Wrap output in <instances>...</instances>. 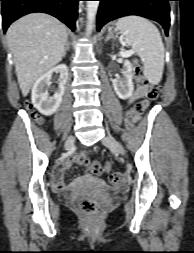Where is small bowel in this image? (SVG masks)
<instances>
[{"label": "small bowel", "mask_w": 194, "mask_h": 253, "mask_svg": "<svg viewBox=\"0 0 194 253\" xmlns=\"http://www.w3.org/2000/svg\"><path fill=\"white\" fill-rule=\"evenodd\" d=\"M149 88L146 84H141L137 87L135 92L132 94V96L128 99V104H133L135 101L145 97L148 95ZM133 123L137 122L140 119V115H137L133 118ZM71 166V162L69 160L65 161L62 166L56 170L52 174V179L54 182V185L57 189L62 190L65 188V180L63 176V172L67 170ZM110 166H106V170H109Z\"/></svg>", "instance_id": "c3829d8e"}]
</instances>
